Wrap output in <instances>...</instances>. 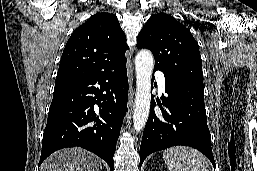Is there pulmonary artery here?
Here are the masks:
<instances>
[{
  "label": "pulmonary artery",
  "instance_id": "e3ab8cb5",
  "mask_svg": "<svg viewBox=\"0 0 257 171\" xmlns=\"http://www.w3.org/2000/svg\"><path fill=\"white\" fill-rule=\"evenodd\" d=\"M156 78L158 80V86L161 93L165 92V78L163 73H157Z\"/></svg>",
  "mask_w": 257,
  "mask_h": 171
}]
</instances>
